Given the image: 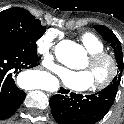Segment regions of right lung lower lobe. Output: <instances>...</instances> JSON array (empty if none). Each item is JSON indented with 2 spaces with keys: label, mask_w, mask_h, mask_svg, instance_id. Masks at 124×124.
Returning a JSON list of instances; mask_svg holds the SVG:
<instances>
[{
  "label": "right lung lower lobe",
  "mask_w": 124,
  "mask_h": 124,
  "mask_svg": "<svg viewBox=\"0 0 124 124\" xmlns=\"http://www.w3.org/2000/svg\"><path fill=\"white\" fill-rule=\"evenodd\" d=\"M37 65L36 50L23 43L0 40V120L12 116L26 97L13 80L15 74Z\"/></svg>",
  "instance_id": "obj_1"
}]
</instances>
